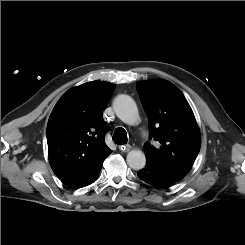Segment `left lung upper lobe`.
<instances>
[{
  "instance_id": "obj_1",
  "label": "left lung upper lobe",
  "mask_w": 245,
  "mask_h": 245,
  "mask_svg": "<svg viewBox=\"0 0 245 245\" xmlns=\"http://www.w3.org/2000/svg\"><path fill=\"white\" fill-rule=\"evenodd\" d=\"M136 88L148 116L150 138L160 143L144 144L146 162L185 177L201 147L200 129L188 101L166 80L139 82Z\"/></svg>"
}]
</instances>
